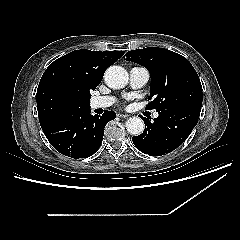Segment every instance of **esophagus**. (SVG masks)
I'll use <instances>...</instances> for the list:
<instances>
[{"instance_id": "1", "label": "esophagus", "mask_w": 240, "mask_h": 240, "mask_svg": "<svg viewBox=\"0 0 240 240\" xmlns=\"http://www.w3.org/2000/svg\"><path fill=\"white\" fill-rule=\"evenodd\" d=\"M117 116L120 118H128L129 117L128 114H123V113H119V114H117Z\"/></svg>"}]
</instances>
